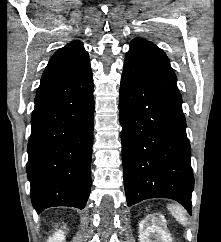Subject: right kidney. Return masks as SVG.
<instances>
[{
  "label": "right kidney",
  "mask_w": 221,
  "mask_h": 242,
  "mask_svg": "<svg viewBox=\"0 0 221 242\" xmlns=\"http://www.w3.org/2000/svg\"><path fill=\"white\" fill-rule=\"evenodd\" d=\"M65 241V232L62 230H57L55 234L49 238L48 242H64Z\"/></svg>",
  "instance_id": "ca27d5eb"
}]
</instances>
